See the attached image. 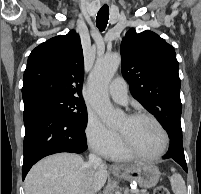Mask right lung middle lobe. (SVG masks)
<instances>
[{
    "instance_id": "1",
    "label": "right lung middle lobe",
    "mask_w": 201,
    "mask_h": 194,
    "mask_svg": "<svg viewBox=\"0 0 201 194\" xmlns=\"http://www.w3.org/2000/svg\"><path fill=\"white\" fill-rule=\"evenodd\" d=\"M25 104H38L50 107L60 112L81 130H85L86 128L87 109L82 100L56 95H45L36 97Z\"/></svg>"
}]
</instances>
